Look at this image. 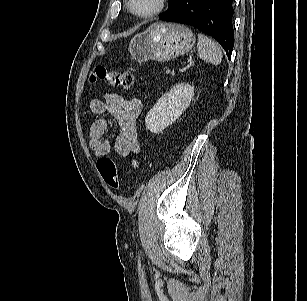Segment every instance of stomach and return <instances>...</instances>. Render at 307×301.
Listing matches in <instances>:
<instances>
[{"label":"stomach","mask_w":307,"mask_h":301,"mask_svg":"<svg viewBox=\"0 0 307 301\" xmlns=\"http://www.w3.org/2000/svg\"><path fill=\"white\" fill-rule=\"evenodd\" d=\"M194 44L195 36L189 28L173 23H154L131 39L128 50L138 62L169 61L188 53Z\"/></svg>","instance_id":"1"}]
</instances>
